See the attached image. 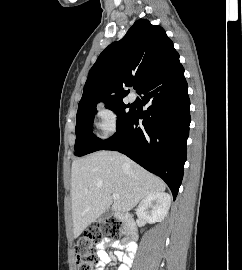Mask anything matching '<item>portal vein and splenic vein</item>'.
<instances>
[{
    "instance_id": "18ae733b",
    "label": "portal vein and splenic vein",
    "mask_w": 242,
    "mask_h": 270,
    "mask_svg": "<svg viewBox=\"0 0 242 270\" xmlns=\"http://www.w3.org/2000/svg\"><path fill=\"white\" fill-rule=\"evenodd\" d=\"M112 198H113L114 200H118V199H119V195L114 193V194L112 195Z\"/></svg>"
}]
</instances>
